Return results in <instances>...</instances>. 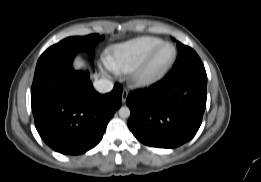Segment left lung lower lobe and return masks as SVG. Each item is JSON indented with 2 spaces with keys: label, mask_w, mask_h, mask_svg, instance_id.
Wrapping results in <instances>:
<instances>
[{
  "label": "left lung lower lobe",
  "mask_w": 261,
  "mask_h": 182,
  "mask_svg": "<svg viewBox=\"0 0 261 182\" xmlns=\"http://www.w3.org/2000/svg\"><path fill=\"white\" fill-rule=\"evenodd\" d=\"M205 69L167 75L148 89L130 92L128 126L143 144L175 148L198 131L206 107Z\"/></svg>",
  "instance_id": "left-lung-lower-lobe-1"
}]
</instances>
